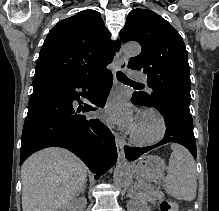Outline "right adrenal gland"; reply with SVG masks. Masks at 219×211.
Segmentation results:
<instances>
[{
    "mask_svg": "<svg viewBox=\"0 0 219 211\" xmlns=\"http://www.w3.org/2000/svg\"><path fill=\"white\" fill-rule=\"evenodd\" d=\"M85 191V187H81V189H79L78 193H76V195H79V193H84Z\"/></svg>",
    "mask_w": 219,
    "mask_h": 211,
    "instance_id": "right-adrenal-gland-1",
    "label": "right adrenal gland"
}]
</instances>
